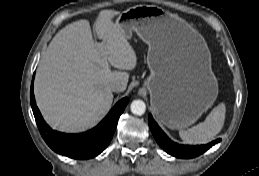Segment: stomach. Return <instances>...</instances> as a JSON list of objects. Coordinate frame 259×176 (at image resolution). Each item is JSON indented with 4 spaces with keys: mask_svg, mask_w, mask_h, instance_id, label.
<instances>
[{
    "mask_svg": "<svg viewBox=\"0 0 259 176\" xmlns=\"http://www.w3.org/2000/svg\"><path fill=\"white\" fill-rule=\"evenodd\" d=\"M115 24L127 39L134 31L148 44L150 76L144 87L157 118L172 129L195 123L218 95L203 39L184 20L155 5L130 7Z\"/></svg>",
    "mask_w": 259,
    "mask_h": 176,
    "instance_id": "obj_1",
    "label": "stomach"
}]
</instances>
